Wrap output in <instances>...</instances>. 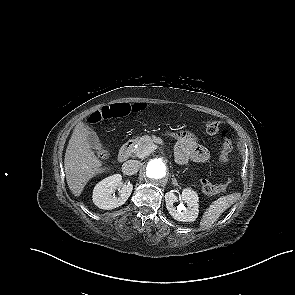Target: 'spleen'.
Here are the masks:
<instances>
[{
  "instance_id": "obj_1",
  "label": "spleen",
  "mask_w": 295,
  "mask_h": 295,
  "mask_svg": "<svg viewBox=\"0 0 295 295\" xmlns=\"http://www.w3.org/2000/svg\"><path fill=\"white\" fill-rule=\"evenodd\" d=\"M240 198V193H232L215 200L204 213L200 226L202 229L211 227L220 215Z\"/></svg>"
}]
</instances>
